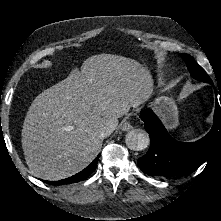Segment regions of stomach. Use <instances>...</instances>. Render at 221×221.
<instances>
[{
    "mask_svg": "<svg viewBox=\"0 0 221 221\" xmlns=\"http://www.w3.org/2000/svg\"><path fill=\"white\" fill-rule=\"evenodd\" d=\"M153 108L168 129L172 130L178 126V108L171 97L160 96L156 98L153 103Z\"/></svg>",
    "mask_w": 221,
    "mask_h": 221,
    "instance_id": "0dacf381",
    "label": "stomach"
}]
</instances>
